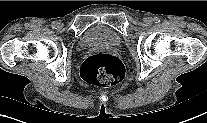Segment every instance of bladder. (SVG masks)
I'll return each mask as SVG.
<instances>
[{
	"instance_id": "1",
	"label": "bladder",
	"mask_w": 207,
	"mask_h": 123,
	"mask_svg": "<svg viewBox=\"0 0 207 123\" xmlns=\"http://www.w3.org/2000/svg\"><path fill=\"white\" fill-rule=\"evenodd\" d=\"M122 43L121 35L114 29L102 24L89 27L80 37L78 47L81 50L91 48H115Z\"/></svg>"
}]
</instances>
